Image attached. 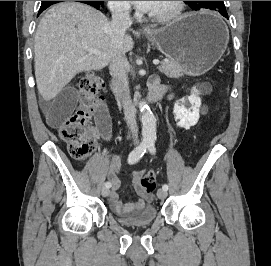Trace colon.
Returning a JSON list of instances; mask_svg holds the SVG:
<instances>
[{"label": "colon", "instance_id": "5ec220e1", "mask_svg": "<svg viewBox=\"0 0 271 266\" xmlns=\"http://www.w3.org/2000/svg\"><path fill=\"white\" fill-rule=\"evenodd\" d=\"M80 101L76 110L65 121L61 128V136L67 142L68 151L75 158H83L91 153L96 145L92 133L90 119L103 101V82L94 73L85 75L79 83ZM146 192L152 193L156 186L154 171L146 173L139 182Z\"/></svg>", "mask_w": 271, "mask_h": 266}]
</instances>
